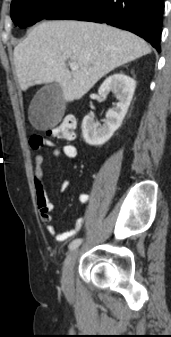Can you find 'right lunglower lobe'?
Returning <instances> with one entry per match:
<instances>
[{"mask_svg":"<svg viewBox=\"0 0 171 337\" xmlns=\"http://www.w3.org/2000/svg\"><path fill=\"white\" fill-rule=\"evenodd\" d=\"M164 0H70L46 19H71L106 23L131 31L158 52Z\"/></svg>","mask_w":171,"mask_h":337,"instance_id":"obj_1","label":"right lung lower lobe"}]
</instances>
